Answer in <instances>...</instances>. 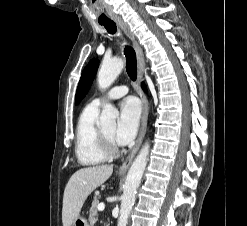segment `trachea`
I'll return each instance as SVG.
<instances>
[{
  "mask_svg": "<svg viewBox=\"0 0 247 226\" xmlns=\"http://www.w3.org/2000/svg\"><path fill=\"white\" fill-rule=\"evenodd\" d=\"M101 25H103L110 34H115L117 32L116 24L113 21ZM124 55L126 57V72L131 80L135 81L137 77L136 53L131 46L127 45L124 48Z\"/></svg>",
  "mask_w": 247,
  "mask_h": 226,
  "instance_id": "obj_1",
  "label": "trachea"
}]
</instances>
